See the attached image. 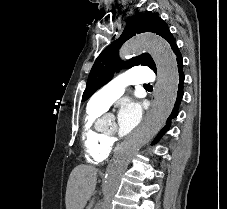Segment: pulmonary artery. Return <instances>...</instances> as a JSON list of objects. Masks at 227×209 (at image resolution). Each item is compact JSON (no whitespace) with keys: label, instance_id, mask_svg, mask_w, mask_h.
I'll return each mask as SVG.
<instances>
[{"label":"pulmonary artery","instance_id":"obj_1","mask_svg":"<svg viewBox=\"0 0 227 209\" xmlns=\"http://www.w3.org/2000/svg\"><path fill=\"white\" fill-rule=\"evenodd\" d=\"M156 73L148 70V66H134L130 73H118L105 88H99L94 95H89L88 105L95 108H106L113 100L121 96L126 83H154Z\"/></svg>","mask_w":227,"mask_h":209}]
</instances>
